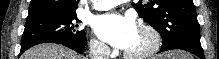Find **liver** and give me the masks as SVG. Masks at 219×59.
Instances as JSON below:
<instances>
[{
	"mask_svg": "<svg viewBox=\"0 0 219 59\" xmlns=\"http://www.w3.org/2000/svg\"><path fill=\"white\" fill-rule=\"evenodd\" d=\"M21 59H86L58 44H40L28 49Z\"/></svg>",
	"mask_w": 219,
	"mask_h": 59,
	"instance_id": "6515ba94",
	"label": "liver"
}]
</instances>
